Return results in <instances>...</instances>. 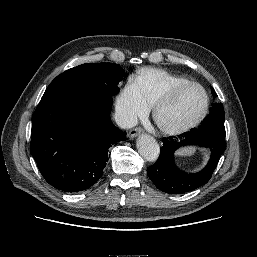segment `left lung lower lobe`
<instances>
[{
    "instance_id": "left-lung-lower-lobe-1",
    "label": "left lung lower lobe",
    "mask_w": 257,
    "mask_h": 257,
    "mask_svg": "<svg viewBox=\"0 0 257 257\" xmlns=\"http://www.w3.org/2000/svg\"><path fill=\"white\" fill-rule=\"evenodd\" d=\"M197 145L211 150L207 165L197 173H187L179 169L174 161V153L182 146ZM226 149L225 134L208 131H193L185 139L163 138L158 160L149 168L147 174L155 186L170 194H183L206 184Z\"/></svg>"
}]
</instances>
